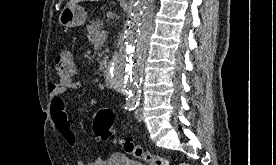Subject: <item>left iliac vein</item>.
I'll use <instances>...</instances> for the list:
<instances>
[{
  "label": "left iliac vein",
  "instance_id": "left-iliac-vein-1",
  "mask_svg": "<svg viewBox=\"0 0 276 165\" xmlns=\"http://www.w3.org/2000/svg\"><path fill=\"white\" fill-rule=\"evenodd\" d=\"M135 117L136 119L141 122L143 121V111H142V108H139L136 113H135Z\"/></svg>",
  "mask_w": 276,
  "mask_h": 165
}]
</instances>
